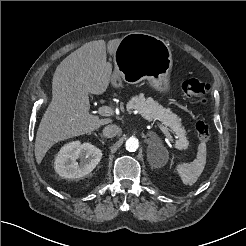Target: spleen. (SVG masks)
I'll use <instances>...</instances> for the list:
<instances>
[{"label":"spleen","instance_id":"1","mask_svg":"<svg viewBox=\"0 0 246 246\" xmlns=\"http://www.w3.org/2000/svg\"><path fill=\"white\" fill-rule=\"evenodd\" d=\"M206 164V144L200 143L196 159L191 163H182L177 166L183 183L192 186L200 177Z\"/></svg>","mask_w":246,"mask_h":246}]
</instances>
